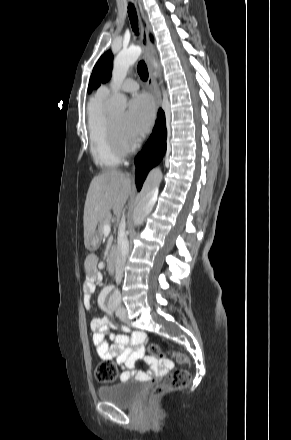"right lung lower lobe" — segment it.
Returning <instances> with one entry per match:
<instances>
[{
  "label": "right lung lower lobe",
  "instance_id": "obj_1",
  "mask_svg": "<svg viewBox=\"0 0 291 440\" xmlns=\"http://www.w3.org/2000/svg\"><path fill=\"white\" fill-rule=\"evenodd\" d=\"M166 138L165 114L160 110L150 138L136 157V186L138 190L141 189L148 172L161 161L166 151Z\"/></svg>",
  "mask_w": 291,
  "mask_h": 440
}]
</instances>
